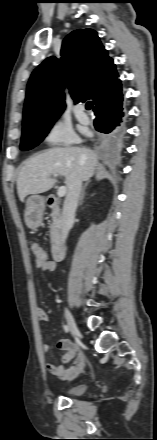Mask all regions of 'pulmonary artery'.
<instances>
[{"label":"pulmonary artery","instance_id":"1","mask_svg":"<svg viewBox=\"0 0 157 440\" xmlns=\"http://www.w3.org/2000/svg\"><path fill=\"white\" fill-rule=\"evenodd\" d=\"M73 112L81 121H88L87 115L84 113V108L82 105L78 104L73 107Z\"/></svg>","mask_w":157,"mask_h":440}]
</instances>
